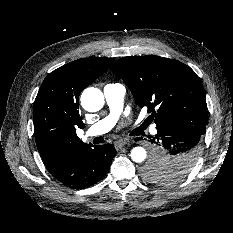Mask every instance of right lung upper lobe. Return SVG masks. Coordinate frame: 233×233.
<instances>
[{
    "instance_id": "1",
    "label": "right lung upper lobe",
    "mask_w": 233,
    "mask_h": 233,
    "mask_svg": "<svg viewBox=\"0 0 233 233\" xmlns=\"http://www.w3.org/2000/svg\"><path fill=\"white\" fill-rule=\"evenodd\" d=\"M113 62V58H82L57 68L44 79L33 117L37 148L46 165L85 144L76 135V127L85 126L78 111L79 95Z\"/></svg>"
}]
</instances>
